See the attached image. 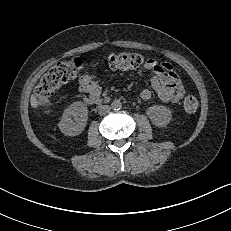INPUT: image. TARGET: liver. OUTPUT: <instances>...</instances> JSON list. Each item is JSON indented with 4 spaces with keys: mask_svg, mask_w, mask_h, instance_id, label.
Returning a JSON list of instances; mask_svg holds the SVG:
<instances>
[{
    "mask_svg": "<svg viewBox=\"0 0 231 231\" xmlns=\"http://www.w3.org/2000/svg\"><path fill=\"white\" fill-rule=\"evenodd\" d=\"M30 103L33 108H37L40 105V102L37 100L35 95L31 96Z\"/></svg>",
    "mask_w": 231,
    "mask_h": 231,
    "instance_id": "liver-1",
    "label": "liver"
}]
</instances>
